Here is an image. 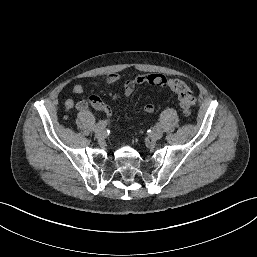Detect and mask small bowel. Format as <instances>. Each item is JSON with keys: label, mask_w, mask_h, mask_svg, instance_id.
<instances>
[{"label": "small bowel", "mask_w": 257, "mask_h": 257, "mask_svg": "<svg viewBox=\"0 0 257 257\" xmlns=\"http://www.w3.org/2000/svg\"><path fill=\"white\" fill-rule=\"evenodd\" d=\"M106 82L111 86H122L123 91L121 93H115L111 96L112 100L119 101L130 97L131 94L134 92L136 86L138 85L146 83L154 86L165 87L167 84V79L162 74L153 73L149 75H139L135 78L128 80H122L119 74L112 73L107 76ZM72 90L75 94H83L85 92V88L81 83H76L73 86ZM65 107L67 109L76 108L78 110L93 108L95 110L102 112L106 116V118H109L111 116L110 107L107 104H105V102L100 97L96 95H90L87 99L79 101L78 103H75L72 99H67L65 101ZM144 111L147 114L153 113L154 105L151 103L146 104L144 107Z\"/></svg>", "instance_id": "obj_1"}]
</instances>
